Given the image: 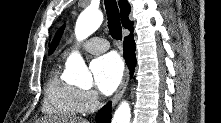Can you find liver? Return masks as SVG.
I'll list each match as a JSON object with an SVG mask.
<instances>
[{
    "label": "liver",
    "mask_w": 221,
    "mask_h": 123,
    "mask_svg": "<svg viewBox=\"0 0 221 123\" xmlns=\"http://www.w3.org/2000/svg\"><path fill=\"white\" fill-rule=\"evenodd\" d=\"M46 120H44L45 122ZM53 121V120H52ZM55 121V120H54ZM64 122V120H63ZM69 123H89L87 120L82 119V118H70Z\"/></svg>",
    "instance_id": "liver-1"
}]
</instances>
